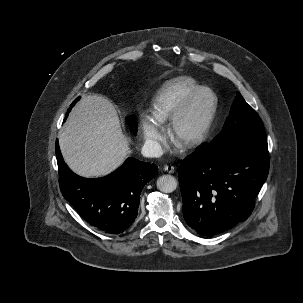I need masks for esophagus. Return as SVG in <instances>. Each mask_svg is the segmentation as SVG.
Returning <instances> with one entry per match:
<instances>
[{"instance_id": "obj_1", "label": "esophagus", "mask_w": 303, "mask_h": 303, "mask_svg": "<svg viewBox=\"0 0 303 303\" xmlns=\"http://www.w3.org/2000/svg\"><path fill=\"white\" fill-rule=\"evenodd\" d=\"M163 169L168 173H174L175 172V168L173 166H170V165H165Z\"/></svg>"}]
</instances>
